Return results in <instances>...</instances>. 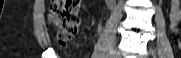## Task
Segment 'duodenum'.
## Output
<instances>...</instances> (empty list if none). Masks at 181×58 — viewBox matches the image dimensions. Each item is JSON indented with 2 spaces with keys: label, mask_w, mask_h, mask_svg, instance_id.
<instances>
[{
  "label": "duodenum",
  "mask_w": 181,
  "mask_h": 58,
  "mask_svg": "<svg viewBox=\"0 0 181 58\" xmlns=\"http://www.w3.org/2000/svg\"><path fill=\"white\" fill-rule=\"evenodd\" d=\"M107 2L112 5L114 3V0H108Z\"/></svg>",
  "instance_id": "410a0bca"
}]
</instances>
